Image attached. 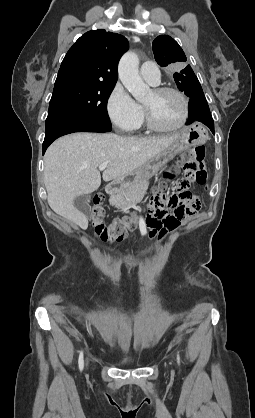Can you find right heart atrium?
<instances>
[{"mask_svg": "<svg viewBox=\"0 0 255 418\" xmlns=\"http://www.w3.org/2000/svg\"><path fill=\"white\" fill-rule=\"evenodd\" d=\"M106 112L111 123L122 132L135 130L143 118L141 105L121 84H116L109 94Z\"/></svg>", "mask_w": 255, "mask_h": 418, "instance_id": "1", "label": "right heart atrium"}]
</instances>
